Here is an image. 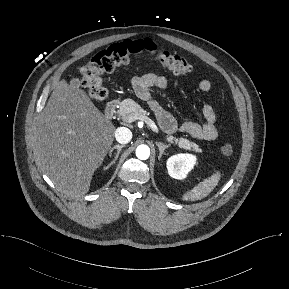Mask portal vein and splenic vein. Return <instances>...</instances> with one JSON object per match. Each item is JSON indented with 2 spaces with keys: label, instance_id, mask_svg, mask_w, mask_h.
I'll use <instances>...</instances> for the list:
<instances>
[{
  "label": "portal vein and splenic vein",
  "instance_id": "obj_1",
  "mask_svg": "<svg viewBox=\"0 0 289 289\" xmlns=\"http://www.w3.org/2000/svg\"><path fill=\"white\" fill-rule=\"evenodd\" d=\"M137 119L144 121L154 132L158 133L159 130H158L157 125L155 124V122L153 120H151L147 116H143V115L134 116V117L128 118V120H125V121L131 123V122H133V121H135Z\"/></svg>",
  "mask_w": 289,
  "mask_h": 289
}]
</instances>
